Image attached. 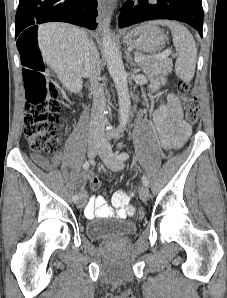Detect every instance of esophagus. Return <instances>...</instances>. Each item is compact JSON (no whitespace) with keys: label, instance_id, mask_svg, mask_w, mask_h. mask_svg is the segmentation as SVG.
Wrapping results in <instances>:
<instances>
[{"label":"esophagus","instance_id":"obj_1","mask_svg":"<svg viewBox=\"0 0 227 298\" xmlns=\"http://www.w3.org/2000/svg\"><path fill=\"white\" fill-rule=\"evenodd\" d=\"M110 2L112 1V2H114L115 0H109Z\"/></svg>","mask_w":227,"mask_h":298}]
</instances>
